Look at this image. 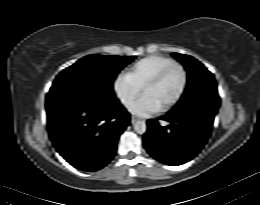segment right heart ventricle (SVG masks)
<instances>
[{
	"label": "right heart ventricle",
	"mask_w": 260,
	"mask_h": 205,
	"mask_svg": "<svg viewBox=\"0 0 260 205\" xmlns=\"http://www.w3.org/2000/svg\"><path fill=\"white\" fill-rule=\"evenodd\" d=\"M174 64L177 63L166 57H149L139 61L126 77L136 87L142 88L154 75Z\"/></svg>",
	"instance_id": "obj_1"
}]
</instances>
